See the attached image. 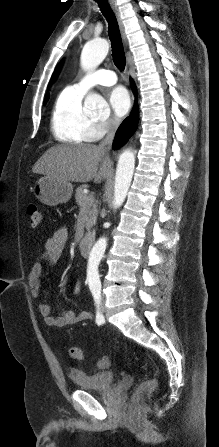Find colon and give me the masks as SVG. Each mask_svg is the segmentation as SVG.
<instances>
[{
    "instance_id": "1",
    "label": "colon",
    "mask_w": 219,
    "mask_h": 447,
    "mask_svg": "<svg viewBox=\"0 0 219 447\" xmlns=\"http://www.w3.org/2000/svg\"><path fill=\"white\" fill-rule=\"evenodd\" d=\"M27 214L29 217V225L31 228H38L43 222V214L39 204L29 203L27 205ZM69 355L75 360L83 359V352L80 348L76 346H71L69 348ZM111 365V359L109 357H102L99 360V366L101 368H108ZM157 387V381L154 378H149L143 381L133 395L134 401H140L145 397L153 393Z\"/></svg>"
}]
</instances>
